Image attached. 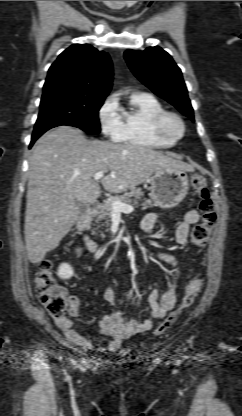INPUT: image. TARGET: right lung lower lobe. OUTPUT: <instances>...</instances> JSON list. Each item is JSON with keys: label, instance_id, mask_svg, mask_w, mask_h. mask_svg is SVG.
Segmentation results:
<instances>
[{"label": "right lung lower lobe", "instance_id": "obj_1", "mask_svg": "<svg viewBox=\"0 0 242 416\" xmlns=\"http://www.w3.org/2000/svg\"><path fill=\"white\" fill-rule=\"evenodd\" d=\"M42 135V134H41ZM41 135H32L31 143L29 148L32 147L33 143L41 136Z\"/></svg>", "mask_w": 242, "mask_h": 416}]
</instances>
